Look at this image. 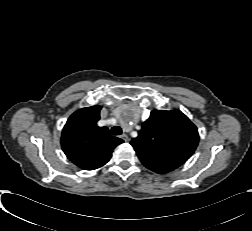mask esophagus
<instances>
[{"label": "esophagus", "mask_w": 252, "mask_h": 231, "mask_svg": "<svg viewBox=\"0 0 252 231\" xmlns=\"http://www.w3.org/2000/svg\"><path fill=\"white\" fill-rule=\"evenodd\" d=\"M121 138L124 140V141H129V137H128V135L127 134H122L121 135Z\"/></svg>", "instance_id": "esophagus-1"}]
</instances>
